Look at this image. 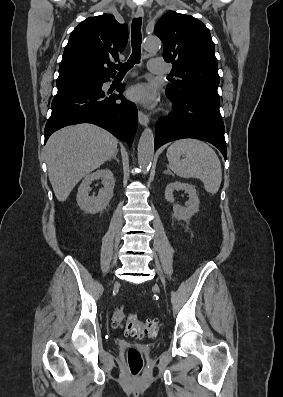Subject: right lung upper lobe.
<instances>
[{
  "mask_svg": "<svg viewBox=\"0 0 283 397\" xmlns=\"http://www.w3.org/2000/svg\"><path fill=\"white\" fill-rule=\"evenodd\" d=\"M127 41L128 26L118 23L113 15L87 18L70 35L57 81L113 77L111 60H119Z\"/></svg>",
  "mask_w": 283,
  "mask_h": 397,
  "instance_id": "1",
  "label": "right lung upper lobe"
}]
</instances>
